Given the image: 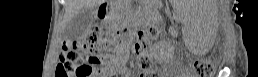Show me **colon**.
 I'll use <instances>...</instances> for the list:
<instances>
[{
	"label": "colon",
	"instance_id": "1",
	"mask_svg": "<svg viewBox=\"0 0 258 77\" xmlns=\"http://www.w3.org/2000/svg\"><path fill=\"white\" fill-rule=\"evenodd\" d=\"M161 36L159 28L152 26L142 32L134 42L135 51L139 54V66L143 69L151 66L148 50L154 41ZM104 40V33L99 28L91 29L82 38L76 40L60 53L56 77H97L101 58L98 56ZM118 43L114 49L121 50ZM215 62L210 58L198 59L193 64L198 77H208L214 72Z\"/></svg>",
	"mask_w": 258,
	"mask_h": 77
}]
</instances>
